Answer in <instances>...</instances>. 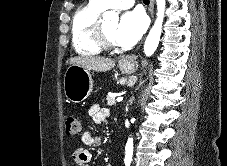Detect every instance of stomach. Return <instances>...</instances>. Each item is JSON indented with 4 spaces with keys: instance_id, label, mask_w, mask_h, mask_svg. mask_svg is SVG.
<instances>
[{
    "instance_id": "0dacf381",
    "label": "stomach",
    "mask_w": 227,
    "mask_h": 166,
    "mask_svg": "<svg viewBox=\"0 0 227 166\" xmlns=\"http://www.w3.org/2000/svg\"><path fill=\"white\" fill-rule=\"evenodd\" d=\"M136 64L127 62L119 63V69L125 74L135 71ZM93 89V79L88 70L77 65H70L64 75V92L66 98L73 103H81L91 93Z\"/></svg>"
}]
</instances>
